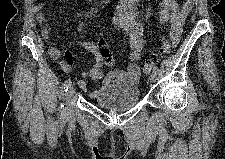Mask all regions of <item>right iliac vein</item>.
I'll list each match as a JSON object with an SVG mask.
<instances>
[{
    "label": "right iliac vein",
    "mask_w": 225,
    "mask_h": 159,
    "mask_svg": "<svg viewBox=\"0 0 225 159\" xmlns=\"http://www.w3.org/2000/svg\"><path fill=\"white\" fill-rule=\"evenodd\" d=\"M68 101H67V107H68V111L69 113L71 112V106H72V97L75 93V89L74 87L71 85L69 88H68Z\"/></svg>",
    "instance_id": "1"
}]
</instances>
